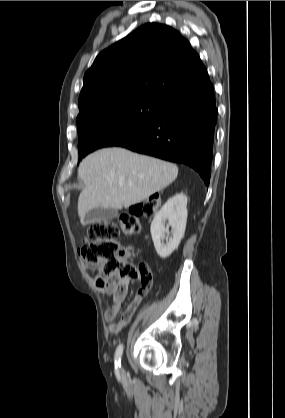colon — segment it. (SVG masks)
Returning a JSON list of instances; mask_svg holds the SVG:
<instances>
[{
    "mask_svg": "<svg viewBox=\"0 0 285 418\" xmlns=\"http://www.w3.org/2000/svg\"><path fill=\"white\" fill-rule=\"evenodd\" d=\"M157 201L149 199L132 206L129 212L119 216V226L110 222L91 224L81 246V258L89 265H101L99 275L95 278L98 288H107L108 281L115 274L121 278L139 276V269L122 255L121 244L118 240L119 231L125 235H136L140 230V218L150 217L154 214ZM148 289L141 287L135 296L136 302H141Z\"/></svg>",
    "mask_w": 285,
    "mask_h": 418,
    "instance_id": "obj_1",
    "label": "colon"
}]
</instances>
